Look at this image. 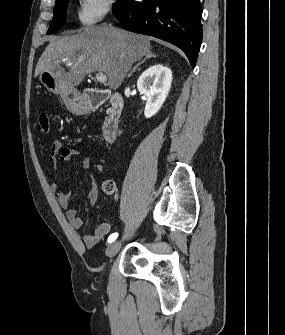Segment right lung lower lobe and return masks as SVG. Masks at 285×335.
<instances>
[{"label":"right lung lower lobe","instance_id":"obj_1","mask_svg":"<svg viewBox=\"0 0 285 335\" xmlns=\"http://www.w3.org/2000/svg\"><path fill=\"white\" fill-rule=\"evenodd\" d=\"M113 13L124 29L176 45L195 67L202 40L200 0H117Z\"/></svg>","mask_w":285,"mask_h":335}]
</instances>
